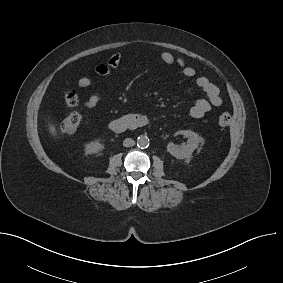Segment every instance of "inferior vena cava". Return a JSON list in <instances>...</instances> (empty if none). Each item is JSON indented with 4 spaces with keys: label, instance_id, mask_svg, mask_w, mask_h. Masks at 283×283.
Masks as SVG:
<instances>
[{
    "label": "inferior vena cava",
    "instance_id": "1",
    "mask_svg": "<svg viewBox=\"0 0 283 283\" xmlns=\"http://www.w3.org/2000/svg\"><path fill=\"white\" fill-rule=\"evenodd\" d=\"M135 145V141L131 138H126L124 141H123V146L124 147H132Z\"/></svg>",
    "mask_w": 283,
    "mask_h": 283
}]
</instances>
